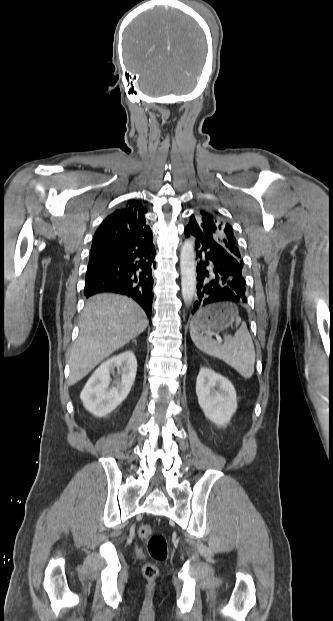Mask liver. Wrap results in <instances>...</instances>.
Listing matches in <instances>:
<instances>
[{"label": "liver", "instance_id": "obj_1", "mask_svg": "<svg viewBox=\"0 0 333 621\" xmlns=\"http://www.w3.org/2000/svg\"><path fill=\"white\" fill-rule=\"evenodd\" d=\"M147 326L145 312L129 298L114 294L89 298L80 322V335L69 352L70 384L84 378Z\"/></svg>", "mask_w": 333, "mask_h": 621}]
</instances>
